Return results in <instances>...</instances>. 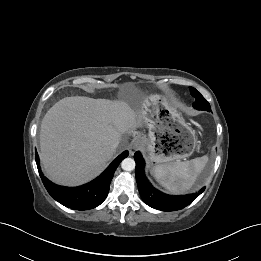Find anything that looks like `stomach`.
<instances>
[{"instance_id":"obj_1","label":"stomach","mask_w":261,"mask_h":261,"mask_svg":"<svg viewBox=\"0 0 261 261\" xmlns=\"http://www.w3.org/2000/svg\"><path fill=\"white\" fill-rule=\"evenodd\" d=\"M148 137L143 149L151 166L165 165L189 157L197 146L195 131L165 98L154 95L147 100Z\"/></svg>"}]
</instances>
